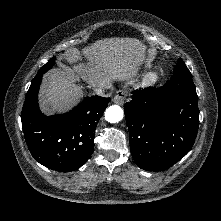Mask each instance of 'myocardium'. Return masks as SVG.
<instances>
[{"mask_svg": "<svg viewBox=\"0 0 221 221\" xmlns=\"http://www.w3.org/2000/svg\"><path fill=\"white\" fill-rule=\"evenodd\" d=\"M158 81V74L156 72H150L146 75L144 83L147 85L155 84Z\"/></svg>", "mask_w": 221, "mask_h": 221, "instance_id": "obj_1", "label": "myocardium"}]
</instances>
